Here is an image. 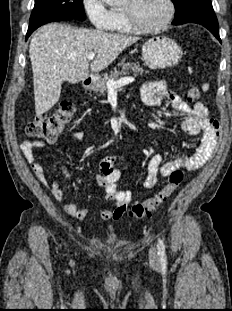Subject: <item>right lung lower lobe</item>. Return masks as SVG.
Segmentation results:
<instances>
[{
  "label": "right lung lower lobe",
  "instance_id": "1",
  "mask_svg": "<svg viewBox=\"0 0 232 311\" xmlns=\"http://www.w3.org/2000/svg\"><path fill=\"white\" fill-rule=\"evenodd\" d=\"M68 19H73V18H70V17H52V18H47V19L35 22L33 24H30L28 31H27V35H26V40L30 36V34L34 30H36L38 27H40L41 25L49 23V22L60 21V20H68Z\"/></svg>",
  "mask_w": 232,
  "mask_h": 311
}]
</instances>
